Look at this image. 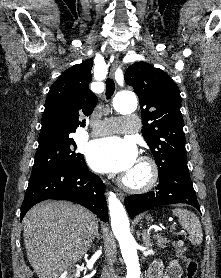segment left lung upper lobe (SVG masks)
Masks as SVG:
<instances>
[{
	"label": "left lung upper lobe",
	"instance_id": "1",
	"mask_svg": "<svg viewBox=\"0 0 221 278\" xmlns=\"http://www.w3.org/2000/svg\"><path fill=\"white\" fill-rule=\"evenodd\" d=\"M125 82L139 97L142 135L154 155L159 175L176 164H186L181 96L176 83L164 71L145 62L129 66Z\"/></svg>",
	"mask_w": 221,
	"mask_h": 278
}]
</instances>
